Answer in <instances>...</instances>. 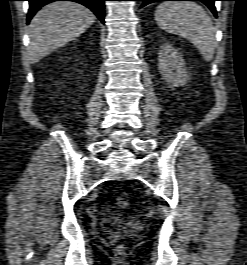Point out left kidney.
<instances>
[{"instance_id":"5707ae66","label":"left kidney","mask_w":247,"mask_h":265,"mask_svg":"<svg viewBox=\"0 0 247 265\" xmlns=\"http://www.w3.org/2000/svg\"><path fill=\"white\" fill-rule=\"evenodd\" d=\"M158 69L171 87L185 85L189 80L186 63L182 54L171 44L165 43L160 47Z\"/></svg>"}]
</instances>
